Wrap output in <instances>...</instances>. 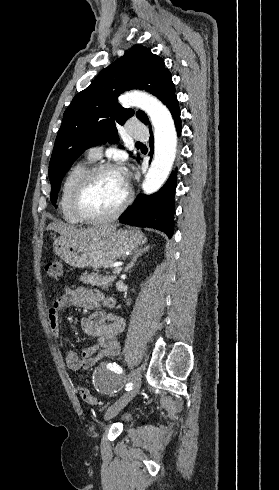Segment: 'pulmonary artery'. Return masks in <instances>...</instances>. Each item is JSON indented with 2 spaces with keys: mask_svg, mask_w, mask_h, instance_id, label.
<instances>
[{
  "mask_svg": "<svg viewBox=\"0 0 279 490\" xmlns=\"http://www.w3.org/2000/svg\"><path fill=\"white\" fill-rule=\"evenodd\" d=\"M127 130L132 134L133 140H145L149 134L147 128H144L143 122H136L132 119L131 122L127 124ZM102 155L101 146H92L86 151V158L90 161H95L99 159Z\"/></svg>",
  "mask_w": 279,
  "mask_h": 490,
  "instance_id": "1",
  "label": "pulmonary artery"
}]
</instances>
